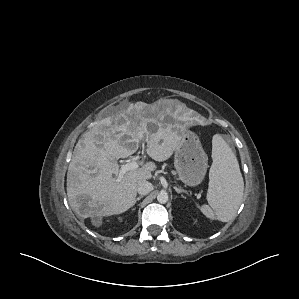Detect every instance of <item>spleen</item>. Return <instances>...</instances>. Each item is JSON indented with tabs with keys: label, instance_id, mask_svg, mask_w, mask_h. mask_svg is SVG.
Wrapping results in <instances>:
<instances>
[{
	"label": "spleen",
	"instance_id": "spleen-1",
	"mask_svg": "<svg viewBox=\"0 0 299 299\" xmlns=\"http://www.w3.org/2000/svg\"><path fill=\"white\" fill-rule=\"evenodd\" d=\"M212 159L207 192L209 205L201 206L200 210L210 219L228 222L242 202L243 177L235 154L220 135L213 137Z\"/></svg>",
	"mask_w": 299,
	"mask_h": 299
}]
</instances>
